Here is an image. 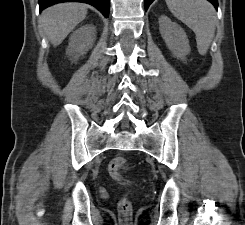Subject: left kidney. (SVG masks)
<instances>
[{
	"instance_id": "1",
	"label": "left kidney",
	"mask_w": 245,
	"mask_h": 225,
	"mask_svg": "<svg viewBox=\"0 0 245 225\" xmlns=\"http://www.w3.org/2000/svg\"><path fill=\"white\" fill-rule=\"evenodd\" d=\"M159 26L162 38L175 57L183 59L190 53L187 35L177 23L172 22L167 16L161 15Z\"/></svg>"
}]
</instances>
